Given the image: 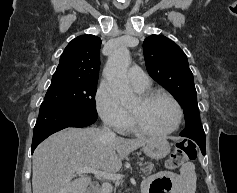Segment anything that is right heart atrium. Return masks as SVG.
<instances>
[{
	"label": "right heart atrium",
	"instance_id": "right-heart-atrium-1",
	"mask_svg": "<svg viewBox=\"0 0 237 193\" xmlns=\"http://www.w3.org/2000/svg\"><path fill=\"white\" fill-rule=\"evenodd\" d=\"M95 105L102 121L117 132H123L129 123L127 111L119 104L105 85H100L95 94Z\"/></svg>",
	"mask_w": 237,
	"mask_h": 193
}]
</instances>
